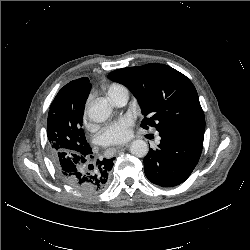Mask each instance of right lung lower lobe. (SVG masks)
<instances>
[{
    "instance_id": "right-lung-lower-lobe-1",
    "label": "right lung lower lobe",
    "mask_w": 250,
    "mask_h": 250,
    "mask_svg": "<svg viewBox=\"0 0 250 250\" xmlns=\"http://www.w3.org/2000/svg\"><path fill=\"white\" fill-rule=\"evenodd\" d=\"M89 146L82 154L59 152L52 158L57 172L74 190L82 196H94L102 192L109 182L113 158L92 160Z\"/></svg>"
}]
</instances>
